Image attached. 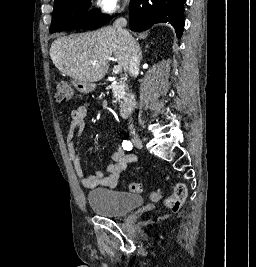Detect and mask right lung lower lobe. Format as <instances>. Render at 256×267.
<instances>
[{"label":"right lung lower lobe","mask_w":256,"mask_h":267,"mask_svg":"<svg viewBox=\"0 0 256 267\" xmlns=\"http://www.w3.org/2000/svg\"><path fill=\"white\" fill-rule=\"evenodd\" d=\"M186 0H130V28L142 32L156 23L169 22L178 38L184 28Z\"/></svg>","instance_id":"right-lung-lower-lobe-1"}]
</instances>
